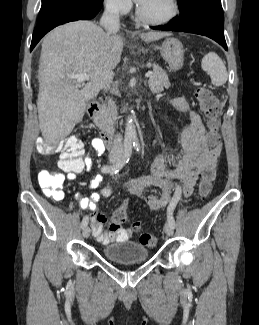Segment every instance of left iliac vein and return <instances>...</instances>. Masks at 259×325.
<instances>
[{"label":"left iliac vein","instance_id":"4c4485c4","mask_svg":"<svg viewBox=\"0 0 259 325\" xmlns=\"http://www.w3.org/2000/svg\"><path fill=\"white\" fill-rule=\"evenodd\" d=\"M164 231L166 233L167 236H172L173 233H174V228L173 226L167 222L165 225H164Z\"/></svg>","mask_w":259,"mask_h":325}]
</instances>
